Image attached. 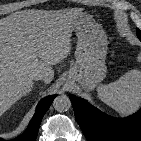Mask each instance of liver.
I'll return each instance as SVG.
<instances>
[{"label": "liver", "instance_id": "obj_1", "mask_svg": "<svg viewBox=\"0 0 141 141\" xmlns=\"http://www.w3.org/2000/svg\"><path fill=\"white\" fill-rule=\"evenodd\" d=\"M81 15V9L22 10L0 19V116L31 91L36 72L52 81V66L70 53Z\"/></svg>", "mask_w": 141, "mask_h": 141}]
</instances>
